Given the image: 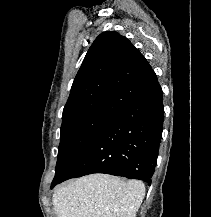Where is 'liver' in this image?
<instances>
[{
	"instance_id": "liver-1",
	"label": "liver",
	"mask_w": 211,
	"mask_h": 217,
	"mask_svg": "<svg viewBox=\"0 0 211 217\" xmlns=\"http://www.w3.org/2000/svg\"><path fill=\"white\" fill-rule=\"evenodd\" d=\"M144 196L141 181L91 174L56 189L52 202L57 217H136Z\"/></svg>"
}]
</instances>
